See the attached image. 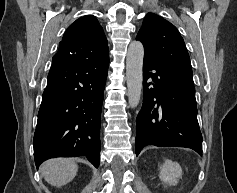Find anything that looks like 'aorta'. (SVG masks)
I'll use <instances>...</instances> for the list:
<instances>
[{
	"label": "aorta",
	"mask_w": 237,
	"mask_h": 193,
	"mask_svg": "<svg viewBox=\"0 0 237 193\" xmlns=\"http://www.w3.org/2000/svg\"><path fill=\"white\" fill-rule=\"evenodd\" d=\"M144 47L140 41H133L128 47L126 58V80L128 102L136 108L140 102L143 83Z\"/></svg>",
	"instance_id": "aorta-1"
}]
</instances>
